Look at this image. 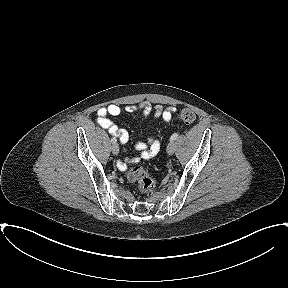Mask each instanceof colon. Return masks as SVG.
I'll return each mask as SVG.
<instances>
[{
  "label": "colon",
  "mask_w": 288,
  "mask_h": 288,
  "mask_svg": "<svg viewBox=\"0 0 288 288\" xmlns=\"http://www.w3.org/2000/svg\"><path fill=\"white\" fill-rule=\"evenodd\" d=\"M178 119L185 123L191 124L195 121V113L188 108H183L177 112ZM126 177L130 182H135L141 193L149 194L155 187L154 180L148 175L145 169L140 165H135L128 170Z\"/></svg>",
  "instance_id": "1"
}]
</instances>
